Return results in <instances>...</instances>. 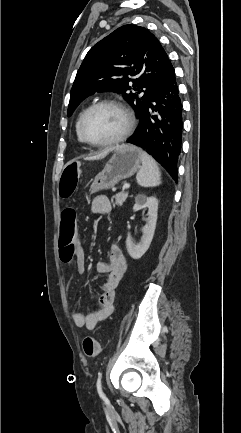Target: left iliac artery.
<instances>
[{
    "label": "left iliac artery",
    "instance_id": "obj_1",
    "mask_svg": "<svg viewBox=\"0 0 241 433\" xmlns=\"http://www.w3.org/2000/svg\"><path fill=\"white\" fill-rule=\"evenodd\" d=\"M101 379H102V373H99L98 374V379H97V384H96L97 391H98L99 396L105 399L106 396H105V394L102 391Z\"/></svg>",
    "mask_w": 241,
    "mask_h": 433
}]
</instances>
